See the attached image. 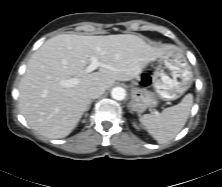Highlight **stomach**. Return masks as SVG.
<instances>
[{"mask_svg": "<svg viewBox=\"0 0 222 187\" xmlns=\"http://www.w3.org/2000/svg\"><path fill=\"white\" fill-rule=\"evenodd\" d=\"M192 81L193 74L186 57L173 46L158 58L152 75L155 92L146 88L134 89L129 106L132 111L142 113L158 105L157 97L162 100L178 99L190 88Z\"/></svg>", "mask_w": 222, "mask_h": 187, "instance_id": "obj_1", "label": "stomach"}]
</instances>
